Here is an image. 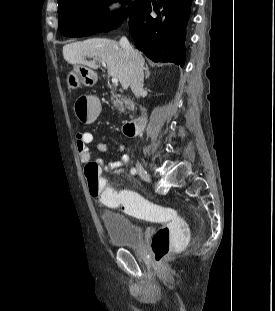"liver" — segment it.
<instances>
[{"label":"liver","instance_id":"6515ba94","mask_svg":"<svg viewBox=\"0 0 275 311\" xmlns=\"http://www.w3.org/2000/svg\"><path fill=\"white\" fill-rule=\"evenodd\" d=\"M137 53L140 55L139 52ZM63 57L70 64L84 65L93 69H96L97 65L85 58L101 59L107 65L108 74L117 77L123 89L130 86L129 58L120 44L115 41L93 38L70 43L63 47Z\"/></svg>","mask_w":275,"mask_h":311}]
</instances>
